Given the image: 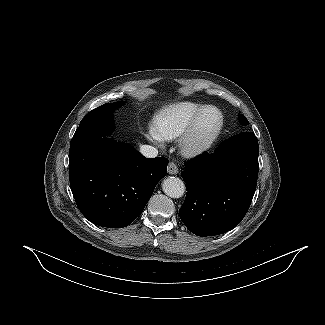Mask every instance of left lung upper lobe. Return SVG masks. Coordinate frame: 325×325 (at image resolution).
<instances>
[{
	"label": "left lung upper lobe",
	"instance_id": "1",
	"mask_svg": "<svg viewBox=\"0 0 325 325\" xmlns=\"http://www.w3.org/2000/svg\"><path fill=\"white\" fill-rule=\"evenodd\" d=\"M239 119L243 125L249 124L248 120L243 116V114H239Z\"/></svg>",
	"mask_w": 325,
	"mask_h": 325
}]
</instances>
